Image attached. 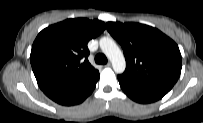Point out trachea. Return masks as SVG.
<instances>
[{
  "mask_svg": "<svg viewBox=\"0 0 203 123\" xmlns=\"http://www.w3.org/2000/svg\"><path fill=\"white\" fill-rule=\"evenodd\" d=\"M95 62L97 64H106L107 63V58H106V56L104 54L99 53V54H97L95 56Z\"/></svg>",
  "mask_w": 203,
  "mask_h": 123,
  "instance_id": "obj_1",
  "label": "trachea"
}]
</instances>
